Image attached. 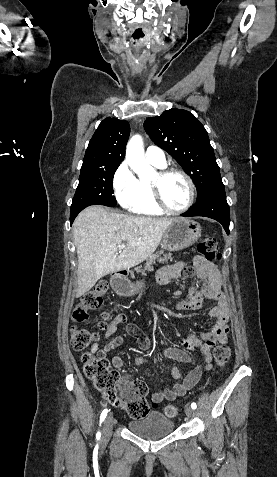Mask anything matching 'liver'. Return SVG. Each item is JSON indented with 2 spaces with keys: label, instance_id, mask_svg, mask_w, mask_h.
<instances>
[{
  "label": "liver",
  "instance_id": "obj_1",
  "mask_svg": "<svg viewBox=\"0 0 277 477\" xmlns=\"http://www.w3.org/2000/svg\"><path fill=\"white\" fill-rule=\"evenodd\" d=\"M174 220L109 212L99 205L84 209L72 230L78 256L76 297L88 292L103 276L148 259ZM122 242L127 246L118 254Z\"/></svg>",
  "mask_w": 277,
  "mask_h": 477
}]
</instances>
